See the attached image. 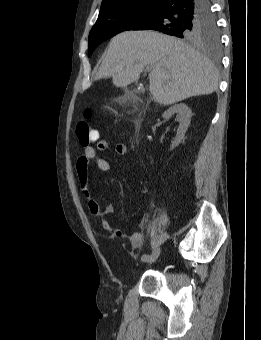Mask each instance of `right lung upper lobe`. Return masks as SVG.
<instances>
[{"label":"right lung upper lobe","mask_w":261,"mask_h":340,"mask_svg":"<svg viewBox=\"0 0 261 340\" xmlns=\"http://www.w3.org/2000/svg\"><path fill=\"white\" fill-rule=\"evenodd\" d=\"M135 1H145V0H103L99 14H101L102 12L110 8L121 6V5H126L131 2H135Z\"/></svg>","instance_id":"cb5924a9"}]
</instances>
